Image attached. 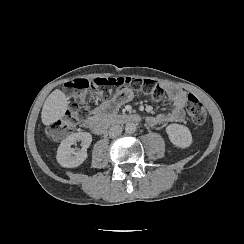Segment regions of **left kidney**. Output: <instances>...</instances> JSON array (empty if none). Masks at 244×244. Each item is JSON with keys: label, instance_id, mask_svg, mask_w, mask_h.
I'll return each mask as SVG.
<instances>
[{"label": "left kidney", "instance_id": "1", "mask_svg": "<svg viewBox=\"0 0 244 244\" xmlns=\"http://www.w3.org/2000/svg\"><path fill=\"white\" fill-rule=\"evenodd\" d=\"M166 132L170 141L177 147L186 148L192 143L190 130L184 125L170 124L166 127Z\"/></svg>", "mask_w": 244, "mask_h": 244}]
</instances>
